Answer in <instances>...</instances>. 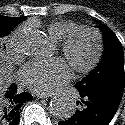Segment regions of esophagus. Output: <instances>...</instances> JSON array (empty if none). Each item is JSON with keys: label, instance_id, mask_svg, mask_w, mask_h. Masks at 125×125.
<instances>
[{"label": "esophagus", "instance_id": "esophagus-1", "mask_svg": "<svg viewBox=\"0 0 125 125\" xmlns=\"http://www.w3.org/2000/svg\"><path fill=\"white\" fill-rule=\"evenodd\" d=\"M37 97L41 98V99H47V98L52 97V96L51 95H46V94H37Z\"/></svg>", "mask_w": 125, "mask_h": 125}]
</instances>
